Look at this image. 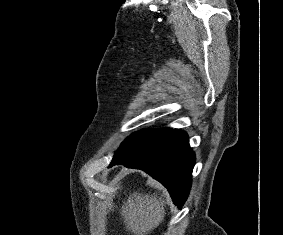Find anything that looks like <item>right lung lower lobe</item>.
Here are the masks:
<instances>
[{
	"label": "right lung lower lobe",
	"mask_w": 283,
	"mask_h": 235,
	"mask_svg": "<svg viewBox=\"0 0 283 235\" xmlns=\"http://www.w3.org/2000/svg\"><path fill=\"white\" fill-rule=\"evenodd\" d=\"M119 164L147 172L168 189L175 205L180 208L185 203L195 164V154L185 132L174 129L144 154L131 160L111 163Z\"/></svg>",
	"instance_id": "right-lung-lower-lobe-1"
}]
</instances>
